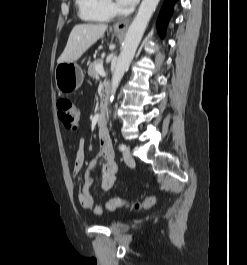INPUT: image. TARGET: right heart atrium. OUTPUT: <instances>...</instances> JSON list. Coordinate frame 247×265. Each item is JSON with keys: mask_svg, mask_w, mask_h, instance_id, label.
<instances>
[{"mask_svg": "<svg viewBox=\"0 0 247 265\" xmlns=\"http://www.w3.org/2000/svg\"><path fill=\"white\" fill-rule=\"evenodd\" d=\"M106 8L111 14H113L116 11L114 4L111 3L109 0H107Z\"/></svg>", "mask_w": 247, "mask_h": 265, "instance_id": "d8ad5b80", "label": "right heart atrium"}]
</instances>
